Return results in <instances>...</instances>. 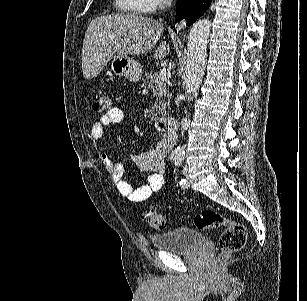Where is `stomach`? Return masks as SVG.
<instances>
[{"label": "stomach", "mask_w": 307, "mask_h": 301, "mask_svg": "<svg viewBox=\"0 0 307 301\" xmlns=\"http://www.w3.org/2000/svg\"><path fill=\"white\" fill-rule=\"evenodd\" d=\"M110 66L116 76L128 78L131 82H138L143 74L140 62L129 56H114Z\"/></svg>", "instance_id": "0dacf381"}]
</instances>
